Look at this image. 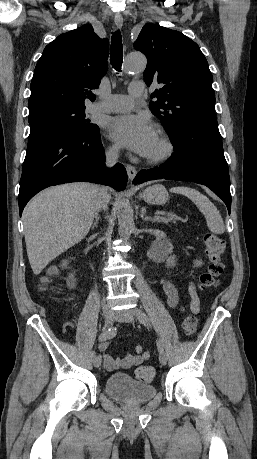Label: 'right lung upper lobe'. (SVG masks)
Listing matches in <instances>:
<instances>
[{
	"mask_svg": "<svg viewBox=\"0 0 257 459\" xmlns=\"http://www.w3.org/2000/svg\"><path fill=\"white\" fill-rule=\"evenodd\" d=\"M108 39H100L89 24L61 34L38 60L31 82V111L52 106L85 107L94 101L107 71Z\"/></svg>",
	"mask_w": 257,
	"mask_h": 459,
	"instance_id": "right-lung-upper-lobe-1",
	"label": "right lung upper lobe"
}]
</instances>
